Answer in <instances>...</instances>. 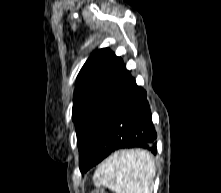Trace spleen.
<instances>
[{"instance_id": "spleen-1", "label": "spleen", "mask_w": 221, "mask_h": 193, "mask_svg": "<svg viewBox=\"0 0 221 193\" xmlns=\"http://www.w3.org/2000/svg\"><path fill=\"white\" fill-rule=\"evenodd\" d=\"M156 169L149 152L141 149L115 152L96 169V187L115 193H152Z\"/></svg>"}]
</instances>
